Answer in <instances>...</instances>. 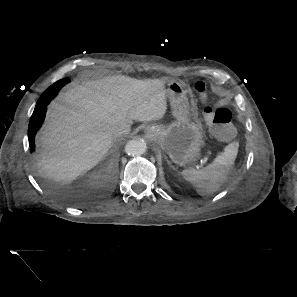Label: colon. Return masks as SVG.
<instances>
[{"instance_id":"5ec220e1","label":"colon","mask_w":297,"mask_h":297,"mask_svg":"<svg viewBox=\"0 0 297 297\" xmlns=\"http://www.w3.org/2000/svg\"><path fill=\"white\" fill-rule=\"evenodd\" d=\"M194 89L202 100L207 98L206 84L202 80L194 83ZM204 114L209 122L212 133L219 139L228 140L234 135L235 129L231 122V112L225 107H206Z\"/></svg>"}]
</instances>
